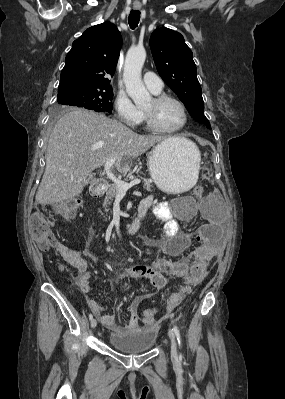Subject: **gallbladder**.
I'll list each match as a JSON object with an SVG mask.
<instances>
[{
    "label": "gallbladder",
    "mask_w": 285,
    "mask_h": 399,
    "mask_svg": "<svg viewBox=\"0 0 285 399\" xmlns=\"http://www.w3.org/2000/svg\"><path fill=\"white\" fill-rule=\"evenodd\" d=\"M92 179H93V177H92V176H89L88 180L91 181Z\"/></svg>",
    "instance_id": "obj_1"
}]
</instances>
